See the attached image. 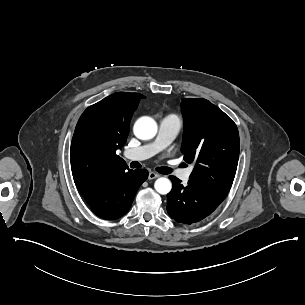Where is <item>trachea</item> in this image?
Instances as JSON below:
<instances>
[{"mask_svg": "<svg viewBox=\"0 0 305 305\" xmlns=\"http://www.w3.org/2000/svg\"><path fill=\"white\" fill-rule=\"evenodd\" d=\"M156 170L161 173V174H164V175H167V174H170L173 172V169L172 168H169V167H158L156 168Z\"/></svg>", "mask_w": 305, "mask_h": 305, "instance_id": "3493384b", "label": "trachea"}]
</instances>
